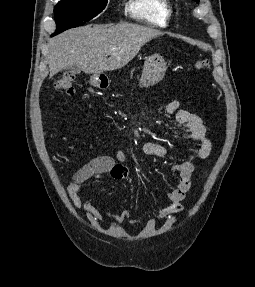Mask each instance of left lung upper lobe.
<instances>
[{
	"instance_id": "1",
	"label": "left lung upper lobe",
	"mask_w": 255,
	"mask_h": 287,
	"mask_svg": "<svg viewBox=\"0 0 255 287\" xmlns=\"http://www.w3.org/2000/svg\"><path fill=\"white\" fill-rule=\"evenodd\" d=\"M197 3L200 1V0H195Z\"/></svg>"
}]
</instances>
